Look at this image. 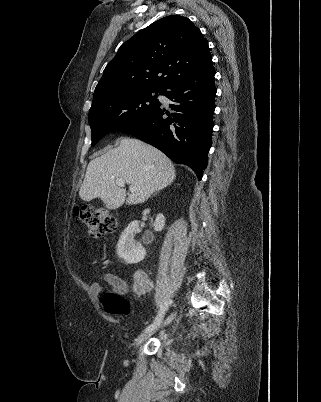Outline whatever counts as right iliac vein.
Instances as JSON below:
<instances>
[{"mask_svg":"<svg viewBox=\"0 0 321 402\" xmlns=\"http://www.w3.org/2000/svg\"><path fill=\"white\" fill-rule=\"evenodd\" d=\"M174 316H175V314H172L169 318H167L166 321L164 322V325L168 324L173 319ZM154 332L155 331H147V332L140 334L138 336V338L136 339V346L141 345L144 341H146L148 338H150V336L153 335Z\"/></svg>","mask_w":321,"mask_h":402,"instance_id":"1","label":"right iliac vein"}]
</instances>
